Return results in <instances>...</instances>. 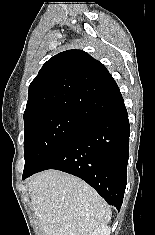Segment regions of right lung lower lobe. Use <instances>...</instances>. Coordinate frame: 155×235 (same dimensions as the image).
<instances>
[{"mask_svg":"<svg viewBox=\"0 0 155 235\" xmlns=\"http://www.w3.org/2000/svg\"><path fill=\"white\" fill-rule=\"evenodd\" d=\"M92 113L39 168L23 173L57 169L75 175L92 186L118 211L126 188L130 126L123 97L114 80L94 85L85 91Z\"/></svg>","mask_w":155,"mask_h":235,"instance_id":"right-lung-lower-lobe-1","label":"right lung lower lobe"}]
</instances>
